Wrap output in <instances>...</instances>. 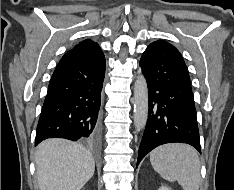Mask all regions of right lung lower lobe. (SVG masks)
Here are the masks:
<instances>
[{"mask_svg": "<svg viewBox=\"0 0 234 190\" xmlns=\"http://www.w3.org/2000/svg\"><path fill=\"white\" fill-rule=\"evenodd\" d=\"M105 67L99 46L71 50L61 58L48 86L35 145L47 138L96 142Z\"/></svg>", "mask_w": 234, "mask_h": 190, "instance_id": "right-lung-lower-lobe-1", "label": "right lung lower lobe"}]
</instances>
